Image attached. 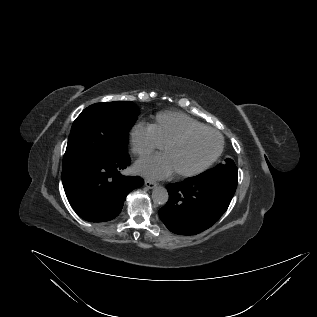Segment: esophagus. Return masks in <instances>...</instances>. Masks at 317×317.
<instances>
[{
  "label": "esophagus",
  "instance_id": "obj_1",
  "mask_svg": "<svg viewBox=\"0 0 317 317\" xmlns=\"http://www.w3.org/2000/svg\"><path fill=\"white\" fill-rule=\"evenodd\" d=\"M145 186L149 189H153L157 186V183L151 180H145Z\"/></svg>",
  "mask_w": 317,
  "mask_h": 317
}]
</instances>
